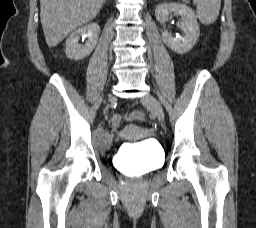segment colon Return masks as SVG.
I'll return each instance as SVG.
<instances>
[{"instance_id":"1","label":"colon","mask_w":256,"mask_h":228,"mask_svg":"<svg viewBox=\"0 0 256 228\" xmlns=\"http://www.w3.org/2000/svg\"><path fill=\"white\" fill-rule=\"evenodd\" d=\"M128 119H132V120H142L143 119V114L139 111H134L129 113L126 116ZM123 121V117L121 115H115L112 118V125L114 127H120Z\"/></svg>"}]
</instances>
